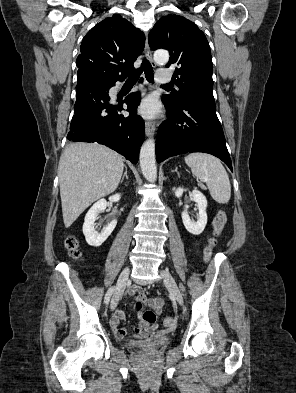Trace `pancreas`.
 Returning a JSON list of instances; mask_svg holds the SVG:
<instances>
[{"label": "pancreas", "mask_w": 296, "mask_h": 393, "mask_svg": "<svg viewBox=\"0 0 296 393\" xmlns=\"http://www.w3.org/2000/svg\"><path fill=\"white\" fill-rule=\"evenodd\" d=\"M200 186L204 189V186L200 184Z\"/></svg>", "instance_id": "1"}]
</instances>
